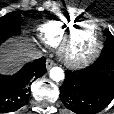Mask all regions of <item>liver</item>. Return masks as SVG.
Instances as JSON below:
<instances>
[{"label":"liver","mask_w":114,"mask_h":114,"mask_svg":"<svg viewBox=\"0 0 114 114\" xmlns=\"http://www.w3.org/2000/svg\"><path fill=\"white\" fill-rule=\"evenodd\" d=\"M29 51L28 45L17 39L12 40L11 44L0 49V71H10L17 68L26 60V53Z\"/></svg>","instance_id":"obj_1"}]
</instances>
